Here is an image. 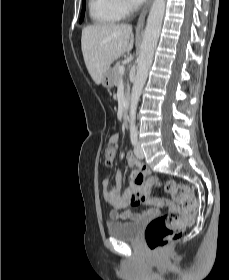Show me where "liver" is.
Segmentation results:
<instances>
[{"label":"liver","instance_id":"6515ba94","mask_svg":"<svg viewBox=\"0 0 229 280\" xmlns=\"http://www.w3.org/2000/svg\"><path fill=\"white\" fill-rule=\"evenodd\" d=\"M132 27L127 24H97L82 30L81 48L87 70L99 85L110 65L133 48Z\"/></svg>","mask_w":229,"mask_h":280}]
</instances>
